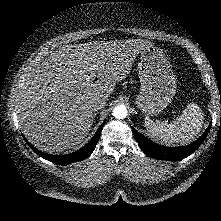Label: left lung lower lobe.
Segmentation results:
<instances>
[{
  "label": "left lung lower lobe",
  "mask_w": 221,
  "mask_h": 221,
  "mask_svg": "<svg viewBox=\"0 0 221 221\" xmlns=\"http://www.w3.org/2000/svg\"><path fill=\"white\" fill-rule=\"evenodd\" d=\"M211 124L212 123L209 124L204 134L197 141L182 147H166L158 145L141 135L134 128H132V130L138 145L146 155L157 160L179 161L190 156L195 150H197L207 137Z\"/></svg>",
  "instance_id": "1"
}]
</instances>
